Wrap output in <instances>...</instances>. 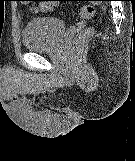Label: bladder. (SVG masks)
Returning a JSON list of instances; mask_svg holds the SVG:
<instances>
[{
    "label": "bladder",
    "mask_w": 135,
    "mask_h": 161,
    "mask_svg": "<svg viewBox=\"0 0 135 161\" xmlns=\"http://www.w3.org/2000/svg\"><path fill=\"white\" fill-rule=\"evenodd\" d=\"M65 29V23L60 18H32L26 24L22 34L24 48L30 51L52 48L58 43Z\"/></svg>",
    "instance_id": "bladder-1"
}]
</instances>
